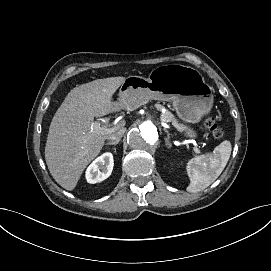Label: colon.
Masks as SVG:
<instances>
[{
  "label": "colon",
  "mask_w": 271,
  "mask_h": 271,
  "mask_svg": "<svg viewBox=\"0 0 271 271\" xmlns=\"http://www.w3.org/2000/svg\"><path fill=\"white\" fill-rule=\"evenodd\" d=\"M204 127L215 137L216 139H222L224 132L218 126V124L212 118H205L203 120Z\"/></svg>",
  "instance_id": "1"
}]
</instances>
